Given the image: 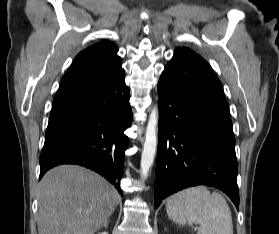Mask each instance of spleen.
I'll use <instances>...</instances> for the list:
<instances>
[{
  "mask_svg": "<svg viewBox=\"0 0 279 234\" xmlns=\"http://www.w3.org/2000/svg\"><path fill=\"white\" fill-rule=\"evenodd\" d=\"M168 217L178 224L199 225V234H233L230 208L222 195L204 186L172 195L166 205Z\"/></svg>",
  "mask_w": 279,
  "mask_h": 234,
  "instance_id": "obj_1",
  "label": "spleen"
}]
</instances>
